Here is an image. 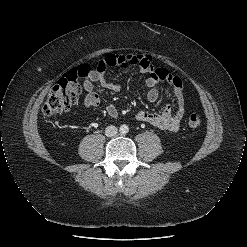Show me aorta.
Wrapping results in <instances>:
<instances>
[{"label":"aorta","instance_id":"aorta-1","mask_svg":"<svg viewBox=\"0 0 247 247\" xmlns=\"http://www.w3.org/2000/svg\"><path fill=\"white\" fill-rule=\"evenodd\" d=\"M119 131H120L121 134H126V133H128L129 128H128L127 125H121L120 128H119Z\"/></svg>","mask_w":247,"mask_h":247}]
</instances>
